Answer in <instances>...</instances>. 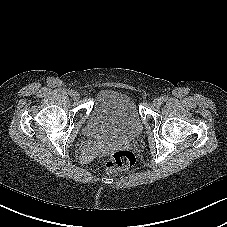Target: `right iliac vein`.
<instances>
[{
	"label": "right iliac vein",
	"instance_id": "right-iliac-vein-1",
	"mask_svg": "<svg viewBox=\"0 0 227 227\" xmlns=\"http://www.w3.org/2000/svg\"><path fill=\"white\" fill-rule=\"evenodd\" d=\"M79 98H80L79 93L75 92L73 95V99L77 101V100H79Z\"/></svg>",
	"mask_w": 227,
	"mask_h": 227
}]
</instances>
